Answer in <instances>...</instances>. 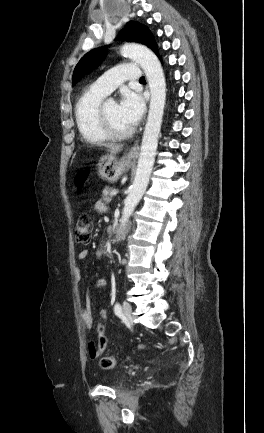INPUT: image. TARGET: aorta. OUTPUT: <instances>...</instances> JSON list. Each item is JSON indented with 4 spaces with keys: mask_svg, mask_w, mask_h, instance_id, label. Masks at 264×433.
<instances>
[{
    "mask_svg": "<svg viewBox=\"0 0 264 433\" xmlns=\"http://www.w3.org/2000/svg\"><path fill=\"white\" fill-rule=\"evenodd\" d=\"M121 54L124 57L135 60L144 70L150 88L151 99L136 175L130 192L124 201V208L117 233L118 236L127 227L130 216L148 186L155 161L166 101V82L157 56L145 46L134 43L123 45L121 47Z\"/></svg>",
    "mask_w": 264,
    "mask_h": 433,
    "instance_id": "762f6f07",
    "label": "aorta"
}]
</instances>
